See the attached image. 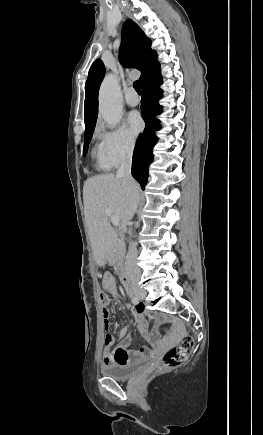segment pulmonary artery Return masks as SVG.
<instances>
[{"mask_svg": "<svg viewBox=\"0 0 263 435\" xmlns=\"http://www.w3.org/2000/svg\"><path fill=\"white\" fill-rule=\"evenodd\" d=\"M125 101L129 106H136L139 104L140 99L133 88H129L126 92Z\"/></svg>", "mask_w": 263, "mask_h": 435, "instance_id": "pulmonary-artery-1", "label": "pulmonary artery"}]
</instances>
